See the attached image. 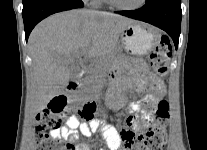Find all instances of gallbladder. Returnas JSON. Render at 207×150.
I'll return each instance as SVG.
<instances>
[{
	"instance_id": "bac80fb5",
	"label": "gallbladder",
	"mask_w": 207,
	"mask_h": 150,
	"mask_svg": "<svg viewBox=\"0 0 207 150\" xmlns=\"http://www.w3.org/2000/svg\"><path fill=\"white\" fill-rule=\"evenodd\" d=\"M76 76V73L73 72V70L71 71V78H74Z\"/></svg>"
}]
</instances>
